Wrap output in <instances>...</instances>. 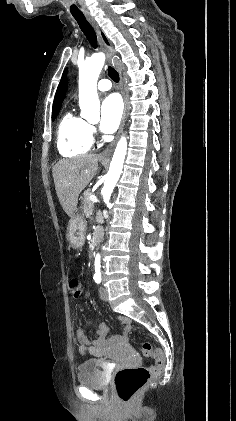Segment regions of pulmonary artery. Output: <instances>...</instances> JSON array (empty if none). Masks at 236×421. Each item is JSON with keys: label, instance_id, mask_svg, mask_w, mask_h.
Segmentation results:
<instances>
[{"label": "pulmonary artery", "instance_id": "obj_1", "mask_svg": "<svg viewBox=\"0 0 236 421\" xmlns=\"http://www.w3.org/2000/svg\"><path fill=\"white\" fill-rule=\"evenodd\" d=\"M97 88L100 91H108L112 88V84L108 79H101L97 84Z\"/></svg>", "mask_w": 236, "mask_h": 421}]
</instances>
